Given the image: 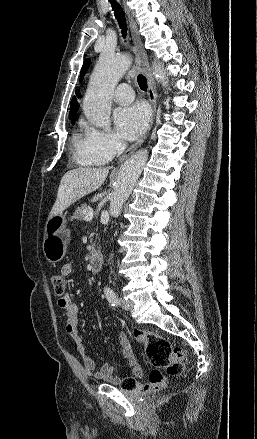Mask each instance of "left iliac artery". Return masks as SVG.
<instances>
[{"label": "left iliac artery", "mask_w": 257, "mask_h": 439, "mask_svg": "<svg viewBox=\"0 0 257 439\" xmlns=\"http://www.w3.org/2000/svg\"><path fill=\"white\" fill-rule=\"evenodd\" d=\"M104 293L106 295L107 300L112 306L118 305V298L115 294V292L110 287L104 288Z\"/></svg>", "instance_id": "left-iliac-artery-1"}]
</instances>
